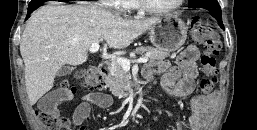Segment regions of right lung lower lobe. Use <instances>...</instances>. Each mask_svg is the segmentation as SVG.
Instances as JSON below:
<instances>
[{"label":"right lung lower lobe","instance_id":"right-lung-lower-lobe-1","mask_svg":"<svg viewBox=\"0 0 257 130\" xmlns=\"http://www.w3.org/2000/svg\"><path fill=\"white\" fill-rule=\"evenodd\" d=\"M44 2H45V1H43V3H44ZM31 12H32V11L28 10V14H27V15H29ZM27 17H28V16H27ZM27 17H26V18H27Z\"/></svg>","mask_w":257,"mask_h":130}]
</instances>
